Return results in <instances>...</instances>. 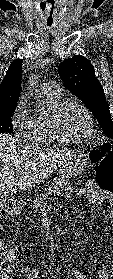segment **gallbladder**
<instances>
[{
  "mask_svg": "<svg viewBox=\"0 0 113 279\" xmlns=\"http://www.w3.org/2000/svg\"><path fill=\"white\" fill-rule=\"evenodd\" d=\"M4 207H5V201L3 199H0V211H2Z\"/></svg>",
  "mask_w": 113,
  "mask_h": 279,
  "instance_id": "obj_1",
  "label": "gallbladder"
}]
</instances>
